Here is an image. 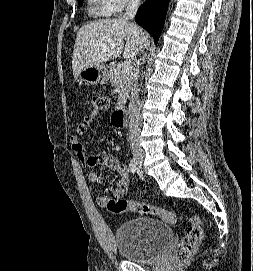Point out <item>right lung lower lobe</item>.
<instances>
[{
	"label": "right lung lower lobe",
	"mask_w": 253,
	"mask_h": 271,
	"mask_svg": "<svg viewBox=\"0 0 253 271\" xmlns=\"http://www.w3.org/2000/svg\"><path fill=\"white\" fill-rule=\"evenodd\" d=\"M169 0H146L139 8L135 21L147 30L157 43L164 26Z\"/></svg>",
	"instance_id": "right-lung-lower-lobe-1"
}]
</instances>
